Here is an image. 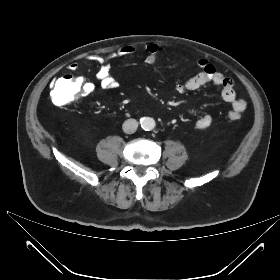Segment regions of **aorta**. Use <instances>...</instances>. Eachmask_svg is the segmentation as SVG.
Masks as SVG:
<instances>
[{
    "instance_id": "762f6f07",
    "label": "aorta",
    "mask_w": 280,
    "mask_h": 280,
    "mask_svg": "<svg viewBox=\"0 0 280 280\" xmlns=\"http://www.w3.org/2000/svg\"><path fill=\"white\" fill-rule=\"evenodd\" d=\"M155 120L150 117H144L141 119V126L144 130H152L155 127Z\"/></svg>"
}]
</instances>
